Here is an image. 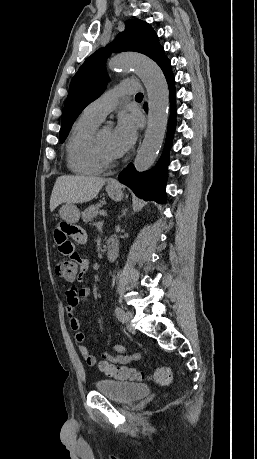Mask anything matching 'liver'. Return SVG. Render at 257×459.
Wrapping results in <instances>:
<instances>
[{"label": "liver", "instance_id": "liver-1", "mask_svg": "<svg viewBox=\"0 0 257 459\" xmlns=\"http://www.w3.org/2000/svg\"><path fill=\"white\" fill-rule=\"evenodd\" d=\"M106 179L96 176H60L56 179L51 198L50 210L54 211L62 203H86L97 196Z\"/></svg>", "mask_w": 257, "mask_h": 459}]
</instances>
